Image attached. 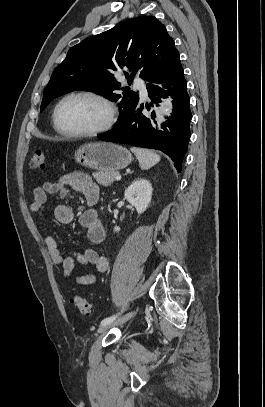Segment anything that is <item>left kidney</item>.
Instances as JSON below:
<instances>
[{
	"label": "left kidney",
	"mask_w": 265,
	"mask_h": 407,
	"mask_svg": "<svg viewBox=\"0 0 265 407\" xmlns=\"http://www.w3.org/2000/svg\"><path fill=\"white\" fill-rule=\"evenodd\" d=\"M152 185L146 179L134 181L125 190V199L136 208L138 214H142L147 208L152 197ZM115 232H119L118 226L114 227Z\"/></svg>",
	"instance_id": "1"
}]
</instances>
